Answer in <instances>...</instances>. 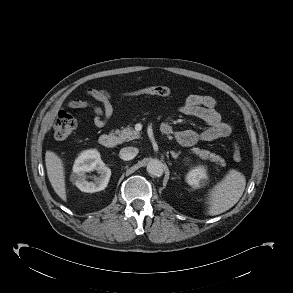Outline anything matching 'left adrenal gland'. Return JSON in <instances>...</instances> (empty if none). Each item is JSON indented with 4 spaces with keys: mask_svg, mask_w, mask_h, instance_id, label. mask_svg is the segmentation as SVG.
I'll use <instances>...</instances> for the list:
<instances>
[{
    "mask_svg": "<svg viewBox=\"0 0 293 293\" xmlns=\"http://www.w3.org/2000/svg\"><path fill=\"white\" fill-rule=\"evenodd\" d=\"M170 153L174 159H177L179 157V155L181 154V152L175 153L174 151H170Z\"/></svg>",
    "mask_w": 293,
    "mask_h": 293,
    "instance_id": "a2214340",
    "label": "left adrenal gland"
}]
</instances>
